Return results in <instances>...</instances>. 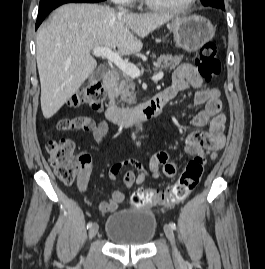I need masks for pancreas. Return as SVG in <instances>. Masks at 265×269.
Here are the masks:
<instances>
[{
  "label": "pancreas",
  "mask_w": 265,
  "mask_h": 269,
  "mask_svg": "<svg viewBox=\"0 0 265 269\" xmlns=\"http://www.w3.org/2000/svg\"><path fill=\"white\" fill-rule=\"evenodd\" d=\"M182 59V55L172 56V55H163L157 59L155 63L154 71L162 70H173L177 65H179ZM135 85L131 76L127 75L124 72L116 75L114 94L117 98H120V101L123 103H135L136 94L134 93ZM121 104V107H124V104Z\"/></svg>",
  "instance_id": "obj_1"
}]
</instances>
